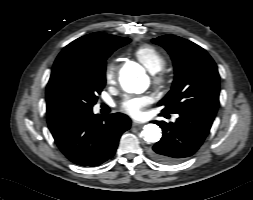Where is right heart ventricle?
Returning a JSON list of instances; mask_svg holds the SVG:
<instances>
[{"mask_svg": "<svg viewBox=\"0 0 253 200\" xmlns=\"http://www.w3.org/2000/svg\"><path fill=\"white\" fill-rule=\"evenodd\" d=\"M137 60L152 74H155L166 65L165 56L150 45H142L134 51Z\"/></svg>", "mask_w": 253, "mask_h": 200, "instance_id": "e07e8e85", "label": "right heart ventricle"}]
</instances>
